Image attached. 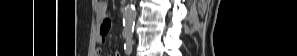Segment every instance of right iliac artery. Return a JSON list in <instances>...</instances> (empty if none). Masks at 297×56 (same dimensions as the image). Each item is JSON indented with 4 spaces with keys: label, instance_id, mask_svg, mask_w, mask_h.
<instances>
[{
    "label": "right iliac artery",
    "instance_id": "1",
    "mask_svg": "<svg viewBox=\"0 0 297 56\" xmlns=\"http://www.w3.org/2000/svg\"><path fill=\"white\" fill-rule=\"evenodd\" d=\"M124 38H127V39H128V38H129V36H128V35H124Z\"/></svg>",
    "mask_w": 297,
    "mask_h": 56
}]
</instances>
